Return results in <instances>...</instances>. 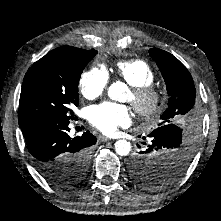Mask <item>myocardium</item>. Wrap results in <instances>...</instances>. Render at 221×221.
I'll return each mask as SVG.
<instances>
[{"mask_svg":"<svg viewBox=\"0 0 221 221\" xmlns=\"http://www.w3.org/2000/svg\"><path fill=\"white\" fill-rule=\"evenodd\" d=\"M131 96V103L135 111L143 118H154L164 108V92L154 85L133 87Z\"/></svg>","mask_w":221,"mask_h":221,"instance_id":"myocardium-1","label":"myocardium"}]
</instances>
